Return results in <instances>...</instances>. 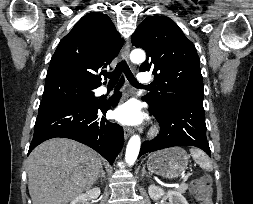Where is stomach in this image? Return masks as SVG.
I'll return each mask as SVG.
<instances>
[{
    "mask_svg": "<svg viewBox=\"0 0 253 204\" xmlns=\"http://www.w3.org/2000/svg\"><path fill=\"white\" fill-rule=\"evenodd\" d=\"M189 155L181 147H173L152 153L146 163L150 172L174 179L187 169Z\"/></svg>",
    "mask_w": 253,
    "mask_h": 204,
    "instance_id": "0dacf381",
    "label": "stomach"
}]
</instances>
